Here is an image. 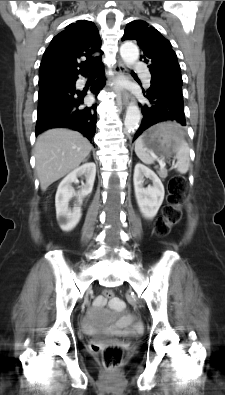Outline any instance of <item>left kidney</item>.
<instances>
[{
	"mask_svg": "<svg viewBox=\"0 0 225 395\" xmlns=\"http://www.w3.org/2000/svg\"><path fill=\"white\" fill-rule=\"evenodd\" d=\"M144 177L149 178L153 185L143 187ZM135 196L142 215L147 219L156 216L164 199V186L160 178L148 167L137 163L134 169Z\"/></svg>",
	"mask_w": 225,
	"mask_h": 395,
	"instance_id": "1",
	"label": "left kidney"
}]
</instances>
